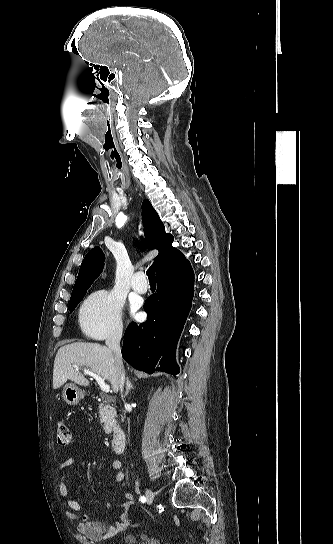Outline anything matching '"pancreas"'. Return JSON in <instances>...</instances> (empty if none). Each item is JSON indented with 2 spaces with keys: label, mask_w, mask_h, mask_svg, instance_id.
Wrapping results in <instances>:
<instances>
[{
  "label": "pancreas",
  "mask_w": 333,
  "mask_h": 544,
  "mask_svg": "<svg viewBox=\"0 0 333 544\" xmlns=\"http://www.w3.org/2000/svg\"><path fill=\"white\" fill-rule=\"evenodd\" d=\"M99 414L105 433L110 434L117 426L115 421V417L117 416L116 409L108 404H100Z\"/></svg>",
  "instance_id": "1"
}]
</instances>
